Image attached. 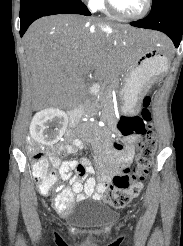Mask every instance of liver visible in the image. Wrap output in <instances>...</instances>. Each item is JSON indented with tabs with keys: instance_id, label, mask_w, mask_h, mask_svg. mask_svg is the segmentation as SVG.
I'll return each instance as SVG.
<instances>
[{
	"instance_id": "liver-1",
	"label": "liver",
	"mask_w": 183,
	"mask_h": 246,
	"mask_svg": "<svg viewBox=\"0 0 183 246\" xmlns=\"http://www.w3.org/2000/svg\"><path fill=\"white\" fill-rule=\"evenodd\" d=\"M137 38L163 49L170 45L161 33L95 17L53 15L38 19L24 36L34 100L63 109L77 105L86 92L84 75L94 71L97 79L103 80L127 71Z\"/></svg>"
}]
</instances>
